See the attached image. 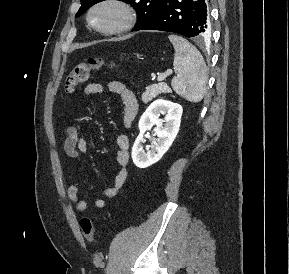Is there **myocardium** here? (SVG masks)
I'll return each instance as SVG.
<instances>
[{"label": "myocardium", "instance_id": "f54148a6", "mask_svg": "<svg viewBox=\"0 0 289 274\" xmlns=\"http://www.w3.org/2000/svg\"><path fill=\"white\" fill-rule=\"evenodd\" d=\"M102 7H113L120 13V20L117 24L109 28H100L92 22L93 13ZM88 26L98 34L112 36L125 33L131 30L137 21V12L135 7L126 0H97L93 3L86 14Z\"/></svg>", "mask_w": 289, "mask_h": 274}]
</instances>
